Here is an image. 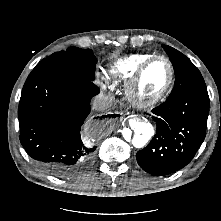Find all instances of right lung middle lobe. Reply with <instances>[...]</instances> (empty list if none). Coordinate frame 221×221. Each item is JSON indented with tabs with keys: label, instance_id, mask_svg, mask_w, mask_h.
Wrapping results in <instances>:
<instances>
[{
	"label": "right lung middle lobe",
	"instance_id": "right-lung-middle-lobe-1",
	"mask_svg": "<svg viewBox=\"0 0 221 221\" xmlns=\"http://www.w3.org/2000/svg\"><path fill=\"white\" fill-rule=\"evenodd\" d=\"M95 64L96 58L92 50L69 47L66 51L53 53L43 59L35 68L53 65L64 72L93 81L95 77Z\"/></svg>",
	"mask_w": 221,
	"mask_h": 221
}]
</instances>
